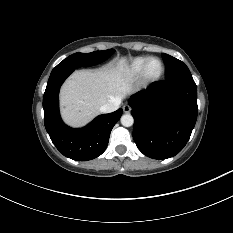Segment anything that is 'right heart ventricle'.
<instances>
[{
    "instance_id": "1",
    "label": "right heart ventricle",
    "mask_w": 233,
    "mask_h": 233,
    "mask_svg": "<svg viewBox=\"0 0 233 233\" xmlns=\"http://www.w3.org/2000/svg\"><path fill=\"white\" fill-rule=\"evenodd\" d=\"M149 57H136L125 68L124 75L128 78H135L141 74L143 66Z\"/></svg>"
}]
</instances>
